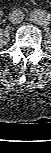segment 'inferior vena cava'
<instances>
[{"label":"inferior vena cava","instance_id":"inferior-vena-cava-1","mask_svg":"<svg viewBox=\"0 0 51 153\" xmlns=\"http://www.w3.org/2000/svg\"><path fill=\"white\" fill-rule=\"evenodd\" d=\"M24 17V13L21 10L16 9L10 12L9 21L13 24H19L24 20Z\"/></svg>","mask_w":51,"mask_h":153}]
</instances>
